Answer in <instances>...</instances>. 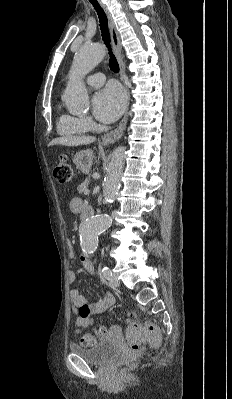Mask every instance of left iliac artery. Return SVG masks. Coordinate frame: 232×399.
Returning a JSON list of instances; mask_svg holds the SVG:
<instances>
[{
    "mask_svg": "<svg viewBox=\"0 0 232 399\" xmlns=\"http://www.w3.org/2000/svg\"><path fill=\"white\" fill-rule=\"evenodd\" d=\"M102 273L105 278L110 279L112 277V271L108 266H103Z\"/></svg>",
    "mask_w": 232,
    "mask_h": 399,
    "instance_id": "1",
    "label": "left iliac artery"
}]
</instances>
